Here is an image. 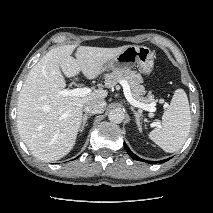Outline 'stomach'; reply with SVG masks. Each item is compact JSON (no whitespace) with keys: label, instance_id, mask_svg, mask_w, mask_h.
I'll return each instance as SVG.
<instances>
[{"label":"stomach","instance_id":"obj_1","mask_svg":"<svg viewBox=\"0 0 213 213\" xmlns=\"http://www.w3.org/2000/svg\"><path fill=\"white\" fill-rule=\"evenodd\" d=\"M133 67H137L145 75H150L154 67L153 52L146 46L129 45L119 55L105 63L102 70H128Z\"/></svg>","mask_w":213,"mask_h":213}]
</instances>
